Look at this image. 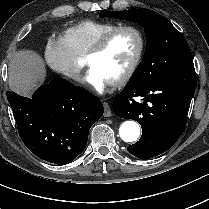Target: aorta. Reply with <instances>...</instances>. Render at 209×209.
Here are the masks:
<instances>
[{
  "instance_id": "obj_1",
  "label": "aorta",
  "mask_w": 209,
  "mask_h": 209,
  "mask_svg": "<svg viewBox=\"0 0 209 209\" xmlns=\"http://www.w3.org/2000/svg\"><path fill=\"white\" fill-rule=\"evenodd\" d=\"M119 135L125 142H135L140 135V126L135 121H125L119 128Z\"/></svg>"
}]
</instances>
